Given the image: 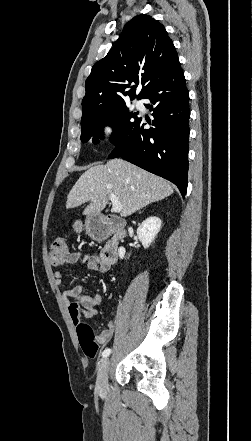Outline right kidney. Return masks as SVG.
Here are the masks:
<instances>
[{"instance_id":"obj_1","label":"right kidney","mask_w":252,"mask_h":441,"mask_svg":"<svg viewBox=\"0 0 252 441\" xmlns=\"http://www.w3.org/2000/svg\"><path fill=\"white\" fill-rule=\"evenodd\" d=\"M162 226V221L156 216H151L144 220L137 229V236L145 249L149 248L154 241ZM126 250L124 247L118 249V254L121 259L124 258Z\"/></svg>"}]
</instances>
